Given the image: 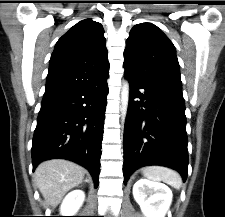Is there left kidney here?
Returning a JSON list of instances; mask_svg holds the SVG:
<instances>
[{"label":"left kidney","instance_id":"left-kidney-1","mask_svg":"<svg viewBox=\"0 0 225 217\" xmlns=\"http://www.w3.org/2000/svg\"><path fill=\"white\" fill-rule=\"evenodd\" d=\"M133 196L146 217H165L173 195L165 184L140 179L133 186Z\"/></svg>","mask_w":225,"mask_h":217}]
</instances>
